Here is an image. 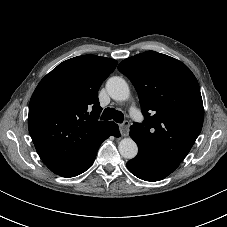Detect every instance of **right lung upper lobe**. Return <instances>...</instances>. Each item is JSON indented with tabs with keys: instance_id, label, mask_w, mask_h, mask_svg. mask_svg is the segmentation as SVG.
<instances>
[{
	"instance_id": "right-lung-upper-lobe-1",
	"label": "right lung upper lobe",
	"mask_w": 227,
	"mask_h": 227,
	"mask_svg": "<svg viewBox=\"0 0 227 227\" xmlns=\"http://www.w3.org/2000/svg\"><path fill=\"white\" fill-rule=\"evenodd\" d=\"M117 61L82 55L60 63L36 87L28 128L45 165L62 175L80 163L113 126L99 121L97 93Z\"/></svg>"
}]
</instances>
